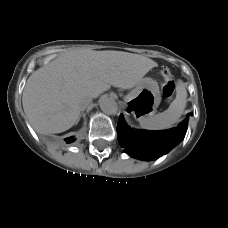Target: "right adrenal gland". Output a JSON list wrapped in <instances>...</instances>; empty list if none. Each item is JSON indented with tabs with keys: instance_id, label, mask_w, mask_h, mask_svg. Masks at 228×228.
Returning a JSON list of instances; mask_svg holds the SVG:
<instances>
[{
	"instance_id": "right-adrenal-gland-1",
	"label": "right adrenal gland",
	"mask_w": 228,
	"mask_h": 228,
	"mask_svg": "<svg viewBox=\"0 0 228 228\" xmlns=\"http://www.w3.org/2000/svg\"><path fill=\"white\" fill-rule=\"evenodd\" d=\"M83 112L80 113L79 117H78V120L76 123H78V121L80 120L81 116H82Z\"/></svg>"
}]
</instances>
